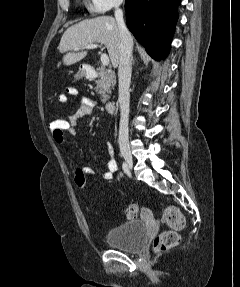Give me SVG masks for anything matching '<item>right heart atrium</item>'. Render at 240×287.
<instances>
[{"instance_id": "d8ad5b80", "label": "right heart atrium", "mask_w": 240, "mask_h": 287, "mask_svg": "<svg viewBox=\"0 0 240 287\" xmlns=\"http://www.w3.org/2000/svg\"><path fill=\"white\" fill-rule=\"evenodd\" d=\"M124 0H85L87 8L95 14H101L118 7Z\"/></svg>"}]
</instances>
